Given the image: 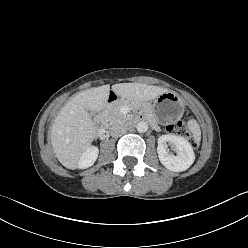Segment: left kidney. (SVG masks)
Returning <instances> with one entry per match:
<instances>
[{"label": "left kidney", "instance_id": "left-kidney-1", "mask_svg": "<svg viewBox=\"0 0 248 248\" xmlns=\"http://www.w3.org/2000/svg\"><path fill=\"white\" fill-rule=\"evenodd\" d=\"M168 143L176 151V156L167 150ZM157 153L162 165L174 172L187 170L195 160L191 144L183 137L172 134L162 135L158 138Z\"/></svg>", "mask_w": 248, "mask_h": 248}]
</instances>
